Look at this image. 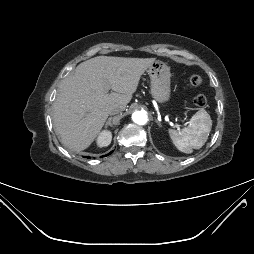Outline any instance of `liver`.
Masks as SVG:
<instances>
[{"mask_svg":"<svg viewBox=\"0 0 254 254\" xmlns=\"http://www.w3.org/2000/svg\"><path fill=\"white\" fill-rule=\"evenodd\" d=\"M155 58L97 56L80 63L60 84L53 123L64 146L88 148L100 133L111 108L125 110L141 75ZM112 89L114 92L108 93Z\"/></svg>","mask_w":254,"mask_h":254,"instance_id":"liver-1","label":"liver"}]
</instances>
